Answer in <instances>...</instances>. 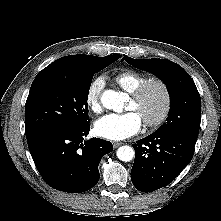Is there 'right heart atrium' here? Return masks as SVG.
I'll use <instances>...</instances> for the list:
<instances>
[{
    "label": "right heart atrium",
    "mask_w": 221,
    "mask_h": 221,
    "mask_svg": "<svg viewBox=\"0 0 221 221\" xmlns=\"http://www.w3.org/2000/svg\"><path fill=\"white\" fill-rule=\"evenodd\" d=\"M104 86L105 82L103 78L98 77L93 79L87 87L85 102L88 108L95 113H99L102 110L101 96Z\"/></svg>",
    "instance_id": "obj_1"
}]
</instances>
